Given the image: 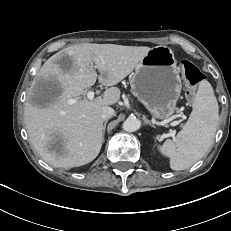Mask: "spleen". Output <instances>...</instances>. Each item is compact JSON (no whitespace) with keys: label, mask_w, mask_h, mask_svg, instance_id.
<instances>
[{"label":"spleen","mask_w":231,"mask_h":231,"mask_svg":"<svg viewBox=\"0 0 231 231\" xmlns=\"http://www.w3.org/2000/svg\"><path fill=\"white\" fill-rule=\"evenodd\" d=\"M219 107L208 81L199 84L190 117L173 140L159 146L162 155L170 158L172 170H184L199 161L210 148L218 125Z\"/></svg>","instance_id":"spleen-1"}]
</instances>
